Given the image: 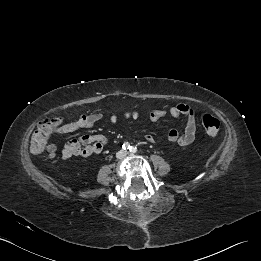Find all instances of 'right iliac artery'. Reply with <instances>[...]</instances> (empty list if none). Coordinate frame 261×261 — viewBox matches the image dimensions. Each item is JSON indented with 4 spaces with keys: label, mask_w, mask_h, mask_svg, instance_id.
<instances>
[{
    "label": "right iliac artery",
    "mask_w": 261,
    "mask_h": 261,
    "mask_svg": "<svg viewBox=\"0 0 261 261\" xmlns=\"http://www.w3.org/2000/svg\"><path fill=\"white\" fill-rule=\"evenodd\" d=\"M122 148H123L124 150H127V149H130L131 147H130V145H129L128 143H124L123 146H122Z\"/></svg>",
    "instance_id": "right-iliac-artery-1"
}]
</instances>
